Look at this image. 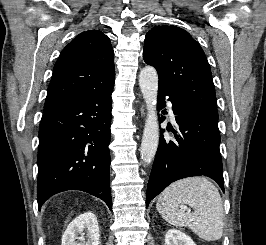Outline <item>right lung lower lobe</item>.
Returning <instances> with one entry per match:
<instances>
[{
  "mask_svg": "<svg viewBox=\"0 0 266 245\" xmlns=\"http://www.w3.org/2000/svg\"><path fill=\"white\" fill-rule=\"evenodd\" d=\"M111 89L86 92L44 112L39 127L37 201L81 190L111 209Z\"/></svg>",
  "mask_w": 266,
  "mask_h": 245,
  "instance_id": "1",
  "label": "right lung lower lobe"
}]
</instances>
